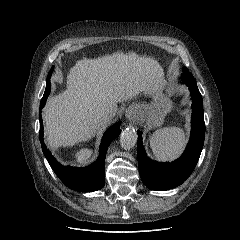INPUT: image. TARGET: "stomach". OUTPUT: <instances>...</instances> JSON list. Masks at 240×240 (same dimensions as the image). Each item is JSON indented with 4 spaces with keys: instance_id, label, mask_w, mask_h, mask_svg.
Returning a JSON list of instances; mask_svg holds the SVG:
<instances>
[{
    "instance_id": "1",
    "label": "stomach",
    "mask_w": 240,
    "mask_h": 240,
    "mask_svg": "<svg viewBox=\"0 0 240 240\" xmlns=\"http://www.w3.org/2000/svg\"><path fill=\"white\" fill-rule=\"evenodd\" d=\"M152 98L150 104L139 106V115L144 118L148 127L160 126L172 109L170 98L163 93V82L149 91Z\"/></svg>"
}]
</instances>
